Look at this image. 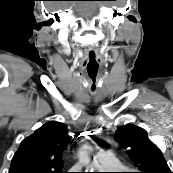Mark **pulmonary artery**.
<instances>
[{
	"label": "pulmonary artery",
	"mask_w": 173,
	"mask_h": 173,
	"mask_svg": "<svg viewBox=\"0 0 173 173\" xmlns=\"http://www.w3.org/2000/svg\"><path fill=\"white\" fill-rule=\"evenodd\" d=\"M95 160L102 164L105 167H112L113 162H114V156L110 151L104 150V151H99L95 155Z\"/></svg>",
	"instance_id": "1"
}]
</instances>
